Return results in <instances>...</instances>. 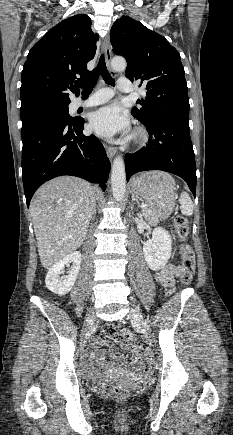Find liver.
<instances>
[{
    "mask_svg": "<svg viewBox=\"0 0 233 435\" xmlns=\"http://www.w3.org/2000/svg\"><path fill=\"white\" fill-rule=\"evenodd\" d=\"M95 205L91 185L73 176L54 178L35 192L30 212L44 268H52L83 244Z\"/></svg>",
    "mask_w": 233,
    "mask_h": 435,
    "instance_id": "obj_1",
    "label": "liver"
}]
</instances>
